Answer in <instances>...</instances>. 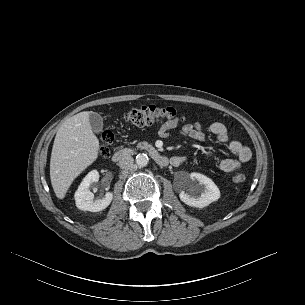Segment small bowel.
Wrapping results in <instances>:
<instances>
[{"label":"small bowel","mask_w":305,"mask_h":305,"mask_svg":"<svg viewBox=\"0 0 305 305\" xmlns=\"http://www.w3.org/2000/svg\"><path fill=\"white\" fill-rule=\"evenodd\" d=\"M180 121L174 120L166 122L158 129V134L162 138L170 137L174 131L179 135L186 136L198 141H204L206 134L202 125L198 122L193 124H184L178 128ZM209 131L216 136L219 142L226 144L228 151L235 156L232 159H224L219 162L218 168L222 172L230 173L239 169L243 164L251 159V151L247 146L236 140H230L227 127L221 122L211 123ZM186 161L185 156H174L171 158L173 166H179Z\"/></svg>","instance_id":"1"}]
</instances>
